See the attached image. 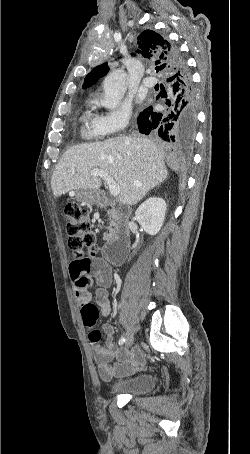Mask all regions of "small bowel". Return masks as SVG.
Segmentation results:
<instances>
[{"label": "small bowel", "instance_id": "small-bowel-1", "mask_svg": "<svg viewBox=\"0 0 250 454\" xmlns=\"http://www.w3.org/2000/svg\"><path fill=\"white\" fill-rule=\"evenodd\" d=\"M69 278L78 304L92 303V294L89 285L94 280L98 289L95 293V303L99 307L102 317L110 314L111 306L107 288L111 285L113 274L111 267L101 258L92 257L86 259H74L68 267ZM102 331L105 334L104 345L94 343L93 356L97 365L99 377L104 381H110L115 377H123L136 372L144 364V356L139 349L131 351L118 348L113 343L114 327L104 324ZM113 360H116L113 362Z\"/></svg>", "mask_w": 250, "mask_h": 454}]
</instances>
